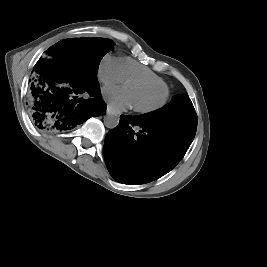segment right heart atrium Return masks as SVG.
Here are the masks:
<instances>
[{
    "label": "right heart atrium",
    "instance_id": "1",
    "mask_svg": "<svg viewBox=\"0 0 267 267\" xmlns=\"http://www.w3.org/2000/svg\"><path fill=\"white\" fill-rule=\"evenodd\" d=\"M98 77L106 85L123 82L124 77L121 71V60L110 54L104 55L99 63Z\"/></svg>",
    "mask_w": 267,
    "mask_h": 267
}]
</instances>
